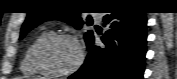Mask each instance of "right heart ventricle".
<instances>
[{"label": "right heart ventricle", "mask_w": 177, "mask_h": 79, "mask_svg": "<svg viewBox=\"0 0 177 79\" xmlns=\"http://www.w3.org/2000/svg\"><path fill=\"white\" fill-rule=\"evenodd\" d=\"M48 35L47 30H43L28 44L21 62V71L27 75H41L42 73L35 67L32 60L33 49L36 44Z\"/></svg>", "instance_id": "obj_1"}]
</instances>
